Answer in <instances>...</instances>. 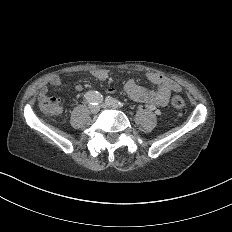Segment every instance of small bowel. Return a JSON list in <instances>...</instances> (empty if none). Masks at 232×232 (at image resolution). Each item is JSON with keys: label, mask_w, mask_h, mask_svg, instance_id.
Masks as SVG:
<instances>
[{"label": "small bowel", "mask_w": 232, "mask_h": 232, "mask_svg": "<svg viewBox=\"0 0 232 232\" xmlns=\"http://www.w3.org/2000/svg\"><path fill=\"white\" fill-rule=\"evenodd\" d=\"M93 74L96 79L103 81L107 78L109 71L107 69H95ZM148 78L158 86V90L141 88L135 79H129L125 84V89L131 100L165 106L169 101L170 94L179 90V85L174 79L168 78L160 73L150 72ZM91 82L89 78H80L78 80L80 85H88ZM49 83L53 89H58L64 84V81L61 77L55 76ZM40 91L42 94H46L49 91V87L42 86Z\"/></svg>", "instance_id": "obj_1"}]
</instances>
